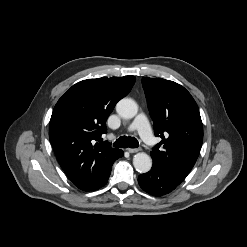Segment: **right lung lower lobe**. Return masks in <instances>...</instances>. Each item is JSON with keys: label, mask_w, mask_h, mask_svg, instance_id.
Instances as JSON below:
<instances>
[{"label": "right lung lower lobe", "mask_w": 247, "mask_h": 247, "mask_svg": "<svg viewBox=\"0 0 247 247\" xmlns=\"http://www.w3.org/2000/svg\"><path fill=\"white\" fill-rule=\"evenodd\" d=\"M123 155H124L123 151H120V152L118 153V155H117V159L120 158V157H122ZM109 175H110V174H109ZM108 178H109V176L104 180V182H103L100 186H98L97 189H99L100 187L104 186V185L107 183ZM95 190H96V189H95Z\"/></svg>", "instance_id": "98d812e1"}]
</instances>
